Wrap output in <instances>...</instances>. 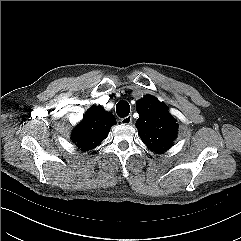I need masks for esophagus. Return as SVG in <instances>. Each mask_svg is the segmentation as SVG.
<instances>
[{
    "label": "esophagus",
    "instance_id": "1",
    "mask_svg": "<svg viewBox=\"0 0 241 241\" xmlns=\"http://www.w3.org/2000/svg\"><path fill=\"white\" fill-rule=\"evenodd\" d=\"M120 122L122 124H130L132 122V116L131 115H128L124 118H121Z\"/></svg>",
    "mask_w": 241,
    "mask_h": 241
}]
</instances>
